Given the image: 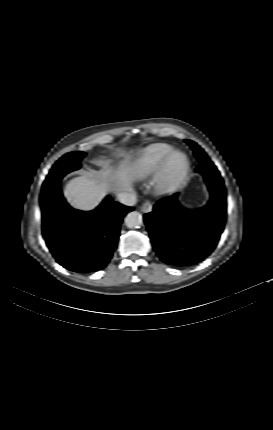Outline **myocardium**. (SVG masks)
Returning <instances> with one entry per match:
<instances>
[{
	"mask_svg": "<svg viewBox=\"0 0 273 430\" xmlns=\"http://www.w3.org/2000/svg\"><path fill=\"white\" fill-rule=\"evenodd\" d=\"M189 170V160L185 154L172 150L163 160L156 176V185L160 192L176 187Z\"/></svg>",
	"mask_w": 273,
	"mask_h": 430,
	"instance_id": "1",
	"label": "myocardium"
}]
</instances>
